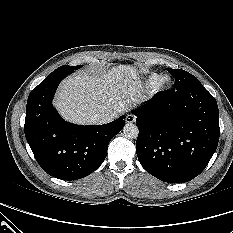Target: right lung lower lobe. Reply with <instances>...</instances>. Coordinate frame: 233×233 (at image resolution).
I'll return each mask as SVG.
<instances>
[{
  "mask_svg": "<svg viewBox=\"0 0 233 233\" xmlns=\"http://www.w3.org/2000/svg\"><path fill=\"white\" fill-rule=\"evenodd\" d=\"M69 72L48 76L29 94L25 136L49 175L77 180L94 172L105 160L110 140L125 125L124 116L103 125L83 126L64 121L52 106L54 93Z\"/></svg>",
  "mask_w": 233,
  "mask_h": 233,
  "instance_id": "right-lung-lower-lobe-1",
  "label": "right lung lower lobe"
}]
</instances>
